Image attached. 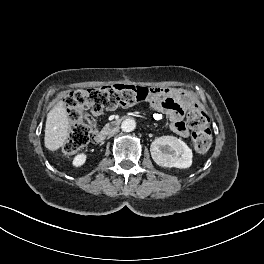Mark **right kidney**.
<instances>
[{
	"instance_id": "ca27d5eb",
	"label": "right kidney",
	"mask_w": 264,
	"mask_h": 264,
	"mask_svg": "<svg viewBox=\"0 0 264 264\" xmlns=\"http://www.w3.org/2000/svg\"><path fill=\"white\" fill-rule=\"evenodd\" d=\"M86 159H87L86 154L84 153L78 154L74 157L72 164L74 167H80L85 164Z\"/></svg>"
}]
</instances>
